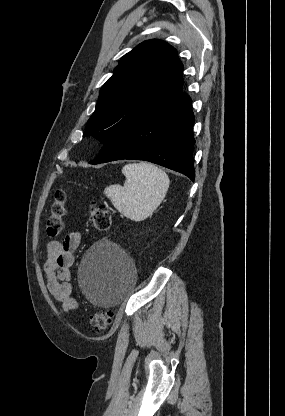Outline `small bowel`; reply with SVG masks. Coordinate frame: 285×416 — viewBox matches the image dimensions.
Returning a JSON list of instances; mask_svg holds the SVG:
<instances>
[{
  "instance_id": "small-bowel-1",
  "label": "small bowel",
  "mask_w": 285,
  "mask_h": 416,
  "mask_svg": "<svg viewBox=\"0 0 285 416\" xmlns=\"http://www.w3.org/2000/svg\"><path fill=\"white\" fill-rule=\"evenodd\" d=\"M81 238V232H71L62 241H51L46 247L43 270L47 289L60 304L61 313H69L78 305L72 296L70 268L74 263V253L80 245Z\"/></svg>"
}]
</instances>
